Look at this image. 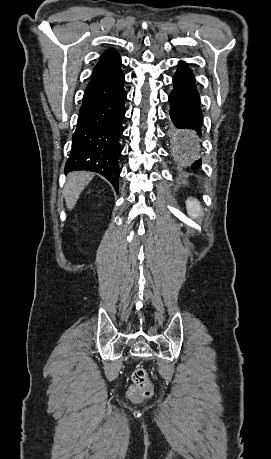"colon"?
Here are the masks:
<instances>
[{
	"label": "colon",
	"mask_w": 271,
	"mask_h": 459,
	"mask_svg": "<svg viewBox=\"0 0 271 459\" xmlns=\"http://www.w3.org/2000/svg\"><path fill=\"white\" fill-rule=\"evenodd\" d=\"M132 381L133 385L128 390L130 399L137 401L148 398L153 394L152 383L144 368L138 367L133 371Z\"/></svg>",
	"instance_id": "1"
}]
</instances>
